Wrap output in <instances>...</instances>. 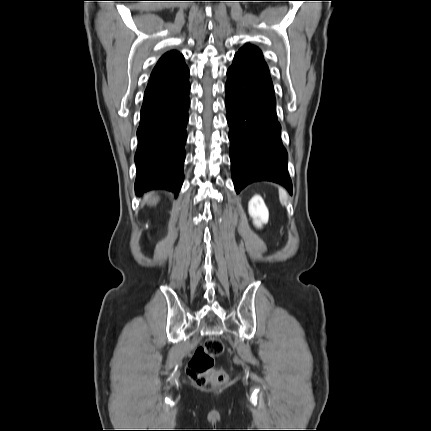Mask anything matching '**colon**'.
Instances as JSON below:
<instances>
[{
    "mask_svg": "<svg viewBox=\"0 0 431 431\" xmlns=\"http://www.w3.org/2000/svg\"><path fill=\"white\" fill-rule=\"evenodd\" d=\"M224 350L223 343L216 337L208 338L199 346L187 365L188 377L197 385L204 386L211 383L215 386L223 385L227 380L224 370L215 368L214 361Z\"/></svg>",
    "mask_w": 431,
    "mask_h": 431,
    "instance_id": "obj_1",
    "label": "colon"
}]
</instances>
